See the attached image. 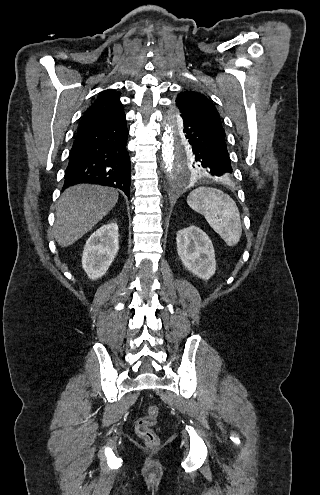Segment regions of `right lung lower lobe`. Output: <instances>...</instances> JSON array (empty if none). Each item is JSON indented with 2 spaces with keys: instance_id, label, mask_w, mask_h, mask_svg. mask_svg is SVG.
Listing matches in <instances>:
<instances>
[{
  "instance_id": "obj_1",
  "label": "right lung lower lobe",
  "mask_w": 320,
  "mask_h": 495,
  "mask_svg": "<svg viewBox=\"0 0 320 495\" xmlns=\"http://www.w3.org/2000/svg\"><path fill=\"white\" fill-rule=\"evenodd\" d=\"M126 120L77 132L63 190L78 183L119 188L129 197L131 162Z\"/></svg>"
}]
</instances>
